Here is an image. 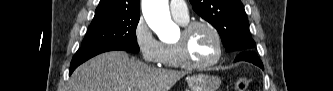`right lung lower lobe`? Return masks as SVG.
Listing matches in <instances>:
<instances>
[{
    "instance_id": "obj_1",
    "label": "right lung lower lobe",
    "mask_w": 333,
    "mask_h": 91,
    "mask_svg": "<svg viewBox=\"0 0 333 91\" xmlns=\"http://www.w3.org/2000/svg\"><path fill=\"white\" fill-rule=\"evenodd\" d=\"M113 50H123L115 47H103V48H94V49H79L75 56L72 59L69 75L75 70L77 66L85 62L86 60L94 57L103 52L113 51Z\"/></svg>"
}]
</instances>
